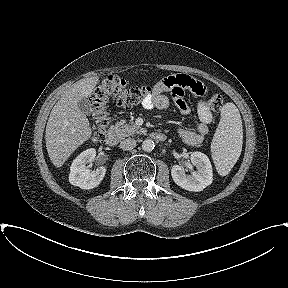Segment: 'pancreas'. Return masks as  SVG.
<instances>
[{
    "label": "pancreas",
    "instance_id": "cf45deb5",
    "mask_svg": "<svg viewBox=\"0 0 288 288\" xmlns=\"http://www.w3.org/2000/svg\"><path fill=\"white\" fill-rule=\"evenodd\" d=\"M114 129L120 137L133 136L145 131L143 128L137 126L134 122L126 123L125 120H120L117 122L114 126Z\"/></svg>",
    "mask_w": 288,
    "mask_h": 288
}]
</instances>
